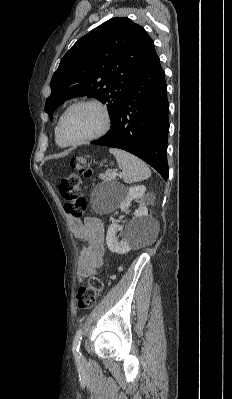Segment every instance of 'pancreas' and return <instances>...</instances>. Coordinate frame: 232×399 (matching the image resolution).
Wrapping results in <instances>:
<instances>
[{
	"instance_id": "obj_1",
	"label": "pancreas",
	"mask_w": 232,
	"mask_h": 399,
	"mask_svg": "<svg viewBox=\"0 0 232 399\" xmlns=\"http://www.w3.org/2000/svg\"><path fill=\"white\" fill-rule=\"evenodd\" d=\"M99 178L100 180H109V182L115 180V178H113V172H110V170H107V172H104V174H100Z\"/></svg>"
}]
</instances>
